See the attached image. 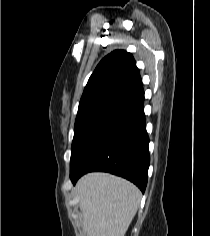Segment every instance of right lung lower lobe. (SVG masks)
<instances>
[{
    "mask_svg": "<svg viewBox=\"0 0 210 236\" xmlns=\"http://www.w3.org/2000/svg\"><path fill=\"white\" fill-rule=\"evenodd\" d=\"M143 103L141 86L86 136L70 162L74 184L87 172L105 171L124 177L145 191L150 157Z\"/></svg>",
    "mask_w": 210,
    "mask_h": 236,
    "instance_id": "98d812e1",
    "label": "right lung lower lobe"
}]
</instances>
